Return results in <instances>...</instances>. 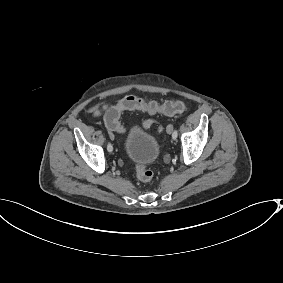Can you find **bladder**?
I'll return each instance as SVG.
<instances>
[{
  "mask_svg": "<svg viewBox=\"0 0 283 283\" xmlns=\"http://www.w3.org/2000/svg\"><path fill=\"white\" fill-rule=\"evenodd\" d=\"M161 140L140 127H129L122 149L126 159L134 165H152L160 156Z\"/></svg>",
  "mask_w": 283,
  "mask_h": 283,
  "instance_id": "bladder-1",
  "label": "bladder"
}]
</instances>
